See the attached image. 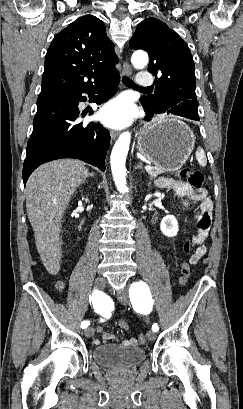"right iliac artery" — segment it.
<instances>
[{
	"instance_id": "obj_1",
	"label": "right iliac artery",
	"mask_w": 243,
	"mask_h": 409,
	"mask_svg": "<svg viewBox=\"0 0 243 409\" xmlns=\"http://www.w3.org/2000/svg\"><path fill=\"white\" fill-rule=\"evenodd\" d=\"M89 299L92 301L95 310L101 314L104 311V308L102 307L103 300L101 297V293L96 290L92 293V295H90ZM89 324L90 322L88 320H85L81 323V328L85 329L86 327L89 326Z\"/></svg>"
}]
</instances>
